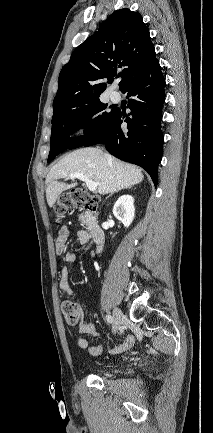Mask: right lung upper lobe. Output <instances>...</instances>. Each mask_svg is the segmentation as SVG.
<instances>
[{
    "label": "right lung upper lobe",
    "instance_id": "obj_1",
    "mask_svg": "<svg viewBox=\"0 0 213 433\" xmlns=\"http://www.w3.org/2000/svg\"><path fill=\"white\" fill-rule=\"evenodd\" d=\"M155 48L141 14L120 9L113 12L99 30L79 45L59 75L53 101V117L63 109L99 97L106 89L103 78L112 81L123 68L120 90L154 59Z\"/></svg>",
    "mask_w": 213,
    "mask_h": 433
}]
</instances>
